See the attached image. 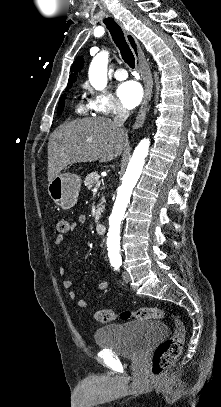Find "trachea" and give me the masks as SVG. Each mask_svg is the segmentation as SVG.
Here are the masks:
<instances>
[{
	"mask_svg": "<svg viewBox=\"0 0 221 407\" xmlns=\"http://www.w3.org/2000/svg\"><path fill=\"white\" fill-rule=\"evenodd\" d=\"M104 24L110 31L113 41L115 42L116 46L120 50L122 59L125 61L128 66L131 68L135 67V57L130 49L129 45L127 44L124 33L121 27L114 21L113 18H105Z\"/></svg>",
	"mask_w": 221,
	"mask_h": 407,
	"instance_id": "trachea-1",
	"label": "trachea"
}]
</instances>
